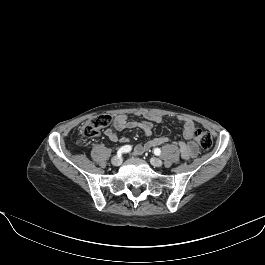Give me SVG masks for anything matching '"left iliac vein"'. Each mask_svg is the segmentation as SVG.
I'll return each mask as SVG.
<instances>
[{
  "label": "left iliac vein",
  "instance_id": "1",
  "mask_svg": "<svg viewBox=\"0 0 265 265\" xmlns=\"http://www.w3.org/2000/svg\"><path fill=\"white\" fill-rule=\"evenodd\" d=\"M150 163H151L153 166H155V167H160V166H162V164H163L162 160H160L159 158H156V157H152V158L150 159Z\"/></svg>",
  "mask_w": 265,
  "mask_h": 265
}]
</instances>
